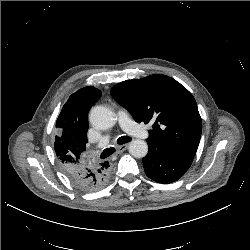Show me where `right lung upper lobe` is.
Wrapping results in <instances>:
<instances>
[{
  "instance_id": "obj_1",
  "label": "right lung upper lobe",
  "mask_w": 250,
  "mask_h": 250,
  "mask_svg": "<svg viewBox=\"0 0 250 250\" xmlns=\"http://www.w3.org/2000/svg\"><path fill=\"white\" fill-rule=\"evenodd\" d=\"M100 97L99 89L88 86L72 94L64 104L56 121L57 135L54 143L62 168L98 165L86 162L83 159V153L88 142L87 114Z\"/></svg>"
}]
</instances>
